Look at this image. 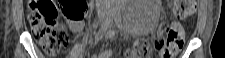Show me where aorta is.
<instances>
[{
	"instance_id": "762f6f07",
	"label": "aorta",
	"mask_w": 225,
	"mask_h": 58,
	"mask_svg": "<svg viewBox=\"0 0 225 58\" xmlns=\"http://www.w3.org/2000/svg\"><path fill=\"white\" fill-rule=\"evenodd\" d=\"M109 10L113 14H116L118 12V7H117V4L114 3V0H111L109 5Z\"/></svg>"
}]
</instances>
